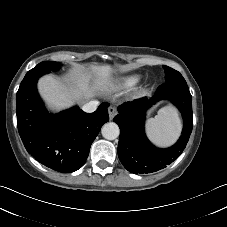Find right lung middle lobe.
Segmentation results:
<instances>
[{
  "instance_id": "dd1d6c3e",
  "label": "right lung middle lobe",
  "mask_w": 227,
  "mask_h": 227,
  "mask_svg": "<svg viewBox=\"0 0 227 227\" xmlns=\"http://www.w3.org/2000/svg\"><path fill=\"white\" fill-rule=\"evenodd\" d=\"M60 68V64L54 61H44L36 65L33 69L28 71V73H36V72H49V71H57ZM27 73V74H28Z\"/></svg>"
}]
</instances>
